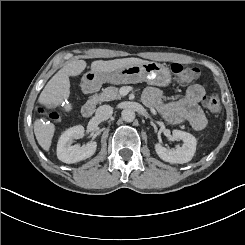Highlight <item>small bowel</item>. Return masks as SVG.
<instances>
[{
  "label": "small bowel",
  "mask_w": 245,
  "mask_h": 245,
  "mask_svg": "<svg viewBox=\"0 0 245 245\" xmlns=\"http://www.w3.org/2000/svg\"><path fill=\"white\" fill-rule=\"evenodd\" d=\"M204 97L205 89L199 84L190 86L184 98L174 102L165 101L158 88L148 87L144 91L143 101L169 123H188L194 130L200 131L207 125L206 116L199 105Z\"/></svg>",
  "instance_id": "small-bowel-1"
}]
</instances>
